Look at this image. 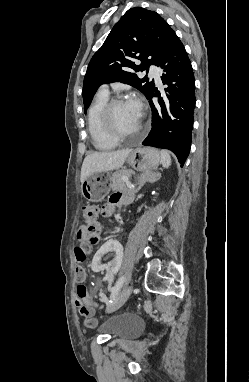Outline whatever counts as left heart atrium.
Segmentation results:
<instances>
[{
  "instance_id": "left-heart-atrium-1",
  "label": "left heart atrium",
  "mask_w": 249,
  "mask_h": 382,
  "mask_svg": "<svg viewBox=\"0 0 249 382\" xmlns=\"http://www.w3.org/2000/svg\"><path fill=\"white\" fill-rule=\"evenodd\" d=\"M128 104L136 111L137 114L141 115L142 106L138 99L132 98L128 101Z\"/></svg>"
}]
</instances>
